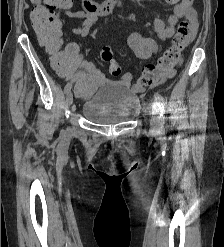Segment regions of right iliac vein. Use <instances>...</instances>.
<instances>
[{"label":"right iliac vein","instance_id":"63e3f726","mask_svg":"<svg viewBox=\"0 0 224 247\" xmlns=\"http://www.w3.org/2000/svg\"><path fill=\"white\" fill-rule=\"evenodd\" d=\"M66 103H67V106L70 107L71 104L73 103V94L71 91H69L67 93V96H66Z\"/></svg>","mask_w":224,"mask_h":247}]
</instances>
